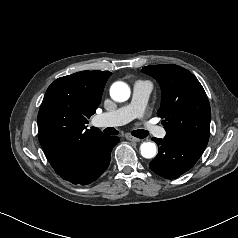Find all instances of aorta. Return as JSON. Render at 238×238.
Listing matches in <instances>:
<instances>
[{
    "label": "aorta",
    "mask_w": 238,
    "mask_h": 238,
    "mask_svg": "<svg viewBox=\"0 0 238 238\" xmlns=\"http://www.w3.org/2000/svg\"><path fill=\"white\" fill-rule=\"evenodd\" d=\"M110 96L114 101L124 102L130 97V88L124 82H115L110 88ZM140 152L144 158H153L157 153L156 145L152 142H144L140 146Z\"/></svg>",
    "instance_id": "1"
}]
</instances>
